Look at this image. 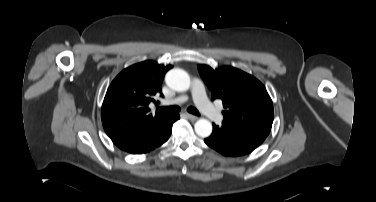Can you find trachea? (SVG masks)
Listing matches in <instances>:
<instances>
[{
  "instance_id": "obj_1",
  "label": "trachea",
  "mask_w": 376,
  "mask_h": 202,
  "mask_svg": "<svg viewBox=\"0 0 376 202\" xmlns=\"http://www.w3.org/2000/svg\"><path fill=\"white\" fill-rule=\"evenodd\" d=\"M160 110L165 113H176V112H179L181 108L179 106H169V107H161ZM187 111L194 115H198V116L200 115L199 111L194 107H188Z\"/></svg>"
}]
</instances>
